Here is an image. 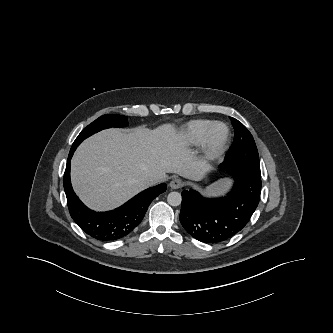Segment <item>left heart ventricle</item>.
I'll list each match as a JSON object with an SVG mask.
<instances>
[{
    "label": "left heart ventricle",
    "instance_id": "b2bd125f",
    "mask_svg": "<svg viewBox=\"0 0 333 333\" xmlns=\"http://www.w3.org/2000/svg\"><path fill=\"white\" fill-rule=\"evenodd\" d=\"M224 135V129L222 127H218L215 130L216 138L220 139Z\"/></svg>",
    "mask_w": 333,
    "mask_h": 333
}]
</instances>
